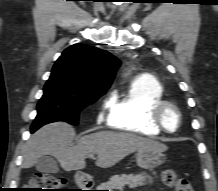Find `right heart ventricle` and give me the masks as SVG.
Returning a JSON list of instances; mask_svg holds the SVG:
<instances>
[{
	"instance_id": "right-heart-ventricle-1",
	"label": "right heart ventricle",
	"mask_w": 218,
	"mask_h": 191,
	"mask_svg": "<svg viewBox=\"0 0 218 191\" xmlns=\"http://www.w3.org/2000/svg\"><path fill=\"white\" fill-rule=\"evenodd\" d=\"M164 101L163 87L154 78L135 79L129 90L115 98L108 124L128 133L154 137L161 131L152 123L154 107Z\"/></svg>"
}]
</instances>
